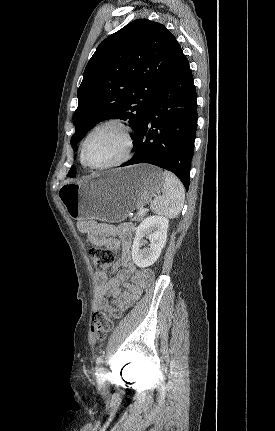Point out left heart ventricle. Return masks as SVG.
<instances>
[{
	"label": "left heart ventricle",
	"mask_w": 275,
	"mask_h": 431,
	"mask_svg": "<svg viewBox=\"0 0 275 431\" xmlns=\"http://www.w3.org/2000/svg\"><path fill=\"white\" fill-rule=\"evenodd\" d=\"M125 150V138L114 126L96 131L86 145V159L90 164L101 165L119 159Z\"/></svg>",
	"instance_id": "left-heart-ventricle-1"
}]
</instances>
